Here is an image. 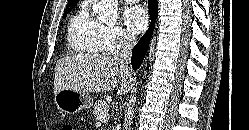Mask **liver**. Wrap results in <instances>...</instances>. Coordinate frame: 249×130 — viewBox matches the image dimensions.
I'll list each match as a JSON object with an SVG mask.
<instances>
[{"label": "liver", "mask_w": 249, "mask_h": 130, "mask_svg": "<svg viewBox=\"0 0 249 130\" xmlns=\"http://www.w3.org/2000/svg\"><path fill=\"white\" fill-rule=\"evenodd\" d=\"M133 74L116 57L78 54L61 58L55 66L54 94L64 89L81 92H111L118 84V95L127 94Z\"/></svg>", "instance_id": "6515ba94"}]
</instances>
